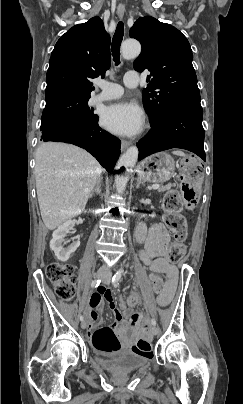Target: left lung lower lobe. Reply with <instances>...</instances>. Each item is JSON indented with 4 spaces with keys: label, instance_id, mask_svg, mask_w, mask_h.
<instances>
[{
    "label": "left lung lower lobe",
    "instance_id": "left-lung-lower-lobe-1",
    "mask_svg": "<svg viewBox=\"0 0 243 404\" xmlns=\"http://www.w3.org/2000/svg\"><path fill=\"white\" fill-rule=\"evenodd\" d=\"M202 120V107L171 108L158 122L151 124L152 129L148 136L137 144L138 160L159 151L181 148L197 154L206 161Z\"/></svg>",
    "mask_w": 243,
    "mask_h": 404
}]
</instances>
